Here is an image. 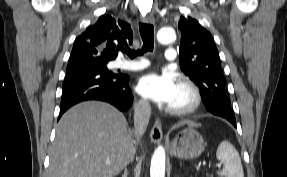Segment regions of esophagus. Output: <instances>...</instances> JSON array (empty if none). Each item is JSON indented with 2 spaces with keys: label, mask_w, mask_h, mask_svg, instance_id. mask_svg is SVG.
<instances>
[{
  "label": "esophagus",
  "mask_w": 287,
  "mask_h": 177,
  "mask_svg": "<svg viewBox=\"0 0 287 177\" xmlns=\"http://www.w3.org/2000/svg\"><path fill=\"white\" fill-rule=\"evenodd\" d=\"M143 21L147 24H155V19L152 15L148 14L143 17ZM162 126L161 122L157 119L151 129L150 138L153 142L158 143L162 140Z\"/></svg>",
  "instance_id": "1"
}]
</instances>
